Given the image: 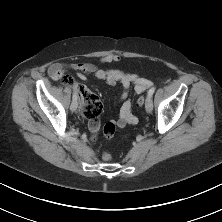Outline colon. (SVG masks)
<instances>
[{"label":"colon","instance_id":"5ec220e1","mask_svg":"<svg viewBox=\"0 0 222 222\" xmlns=\"http://www.w3.org/2000/svg\"><path fill=\"white\" fill-rule=\"evenodd\" d=\"M64 80L66 82H69V77L65 76ZM79 93H80V99L83 104V115L88 118L92 116V114H97L102 110V105L99 100V98L90 90L79 87ZM144 104V98L140 97L137 100V105L139 107L143 106ZM115 132V125L112 122H108L104 125L103 133L106 138H111L114 135ZM104 159L108 160L110 159V155L108 153H104Z\"/></svg>","mask_w":222,"mask_h":222}]
</instances>
